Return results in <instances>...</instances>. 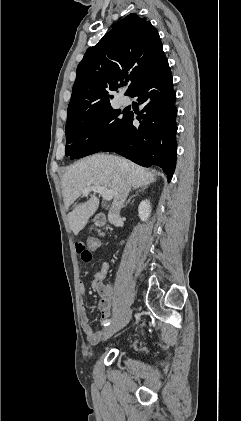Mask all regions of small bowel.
I'll list each match as a JSON object with an SVG mask.
<instances>
[{
	"instance_id": "obj_1",
	"label": "small bowel",
	"mask_w": 241,
	"mask_h": 421,
	"mask_svg": "<svg viewBox=\"0 0 241 421\" xmlns=\"http://www.w3.org/2000/svg\"><path fill=\"white\" fill-rule=\"evenodd\" d=\"M110 268L109 262L105 261L101 264L99 270L95 273L91 283L92 289L100 295V301L98 303V310L100 311L102 322L106 320L110 314L111 300L114 287L112 284L104 283L108 271ZM79 294L81 298L86 296V288L83 282L79 283ZM82 322L83 331L88 342L91 344L97 343L103 336L102 331H94L89 323V317L86 310L82 309Z\"/></svg>"
}]
</instances>
